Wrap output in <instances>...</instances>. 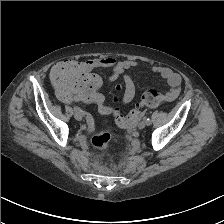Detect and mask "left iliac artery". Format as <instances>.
<instances>
[{
    "label": "left iliac artery",
    "mask_w": 224,
    "mask_h": 224,
    "mask_svg": "<svg viewBox=\"0 0 224 224\" xmlns=\"http://www.w3.org/2000/svg\"><path fill=\"white\" fill-rule=\"evenodd\" d=\"M145 122H146V125H148V126L151 125V120H150V118H146V119H145Z\"/></svg>",
    "instance_id": "1"
}]
</instances>
